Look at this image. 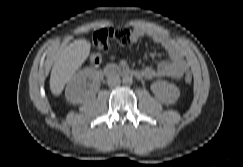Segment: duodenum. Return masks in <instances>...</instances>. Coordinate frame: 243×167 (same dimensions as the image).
I'll use <instances>...</instances> for the list:
<instances>
[{"instance_id": "obj_1", "label": "duodenum", "mask_w": 243, "mask_h": 167, "mask_svg": "<svg viewBox=\"0 0 243 167\" xmlns=\"http://www.w3.org/2000/svg\"><path fill=\"white\" fill-rule=\"evenodd\" d=\"M103 73L106 76L109 77H114V76H133L135 78L141 79L143 76L142 71L134 69V68H129V67H124V66H119V65H113L109 64L103 68Z\"/></svg>"}]
</instances>
